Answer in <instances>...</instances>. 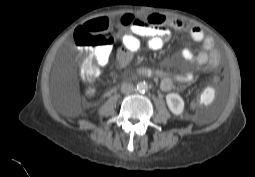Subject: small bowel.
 I'll use <instances>...</instances> for the list:
<instances>
[{"label":"small bowel","mask_w":255,"mask_h":177,"mask_svg":"<svg viewBox=\"0 0 255 177\" xmlns=\"http://www.w3.org/2000/svg\"><path fill=\"white\" fill-rule=\"evenodd\" d=\"M170 27L176 31H187L194 41L202 43V49L194 54L189 48H182L180 56L193 64L205 65L209 63L212 68L216 67L220 61V53L214 47L211 36L205 34L203 29L197 25L190 26L181 19L168 18L160 13L145 14L140 19H134L130 25V33L124 34L121 38L122 46L116 52V60L120 67H126L137 53L142 43L140 37L147 38V47L158 51L165 47L170 38ZM80 31L84 30L81 26ZM111 54V46L100 49L96 52V57L101 66L108 63ZM139 73L143 76H157L161 78L160 87L163 91H170L174 88L172 74L162 69L141 68ZM177 80L186 84L193 80L192 72L178 74ZM182 88V87H181Z\"/></svg>","instance_id":"c3829d8e"}]
</instances>
